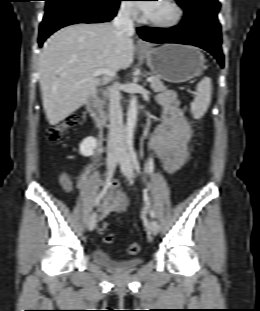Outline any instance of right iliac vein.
<instances>
[{
    "mask_svg": "<svg viewBox=\"0 0 260 311\" xmlns=\"http://www.w3.org/2000/svg\"><path fill=\"white\" fill-rule=\"evenodd\" d=\"M118 152H119V147L118 146H112L108 152L107 156V164L109 170L113 167V165L118 161ZM97 223V214L96 212H93L88 221H87V228L88 230L92 231L95 229Z\"/></svg>",
    "mask_w": 260,
    "mask_h": 311,
    "instance_id": "right-iliac-vein-1",
    "label": "right iliac vein"
}]
</instances>
